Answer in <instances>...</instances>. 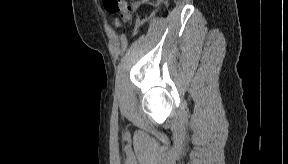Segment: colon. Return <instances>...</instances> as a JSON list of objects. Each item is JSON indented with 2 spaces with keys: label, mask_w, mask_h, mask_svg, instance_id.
<instances>
[{
  "label": "colon",
  "mask_w": 288,
  "mask_h": 164,
  "mask_svg": "<svg viewBox=\"0 0 288 164\" xmlns=\"http://www.w3.org/2000/svg\"><path fill=\"white\" fill-rule=\"evenodd\" d=\"M105 5L109 12L119 14L120 18L113 19L111 24L113 27H120L128 21L133 14V6L126 0H105Z\"/></svg>",
  "instance_id": "1"
}]
</instances>
